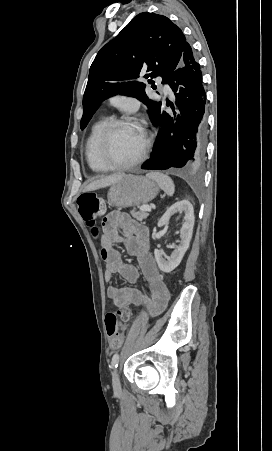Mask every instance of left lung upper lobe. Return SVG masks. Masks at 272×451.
<instances>
[{"instance_id": "5c2ea615", "label": "left lung upper lobe", "mask_w": 272, "mask_h": 451, "mask_svg": "<svg viewBox=\"0 0 272 451\" xmlns=\"http://www.w3.org/2000/svg\"><path fill=\"white\" fill-rule=\"evenodd\" d=\"M188 42L181 29L163 15L143 12L100 49L93 61L83 96L84 129L100 103L117 94L136 97L147 107L151 122L161 113V103L151 102L145 84L137 79L161 76L168 80L181 61ZM150 81V80H148Z\"/></svg>"}]
</instances>
